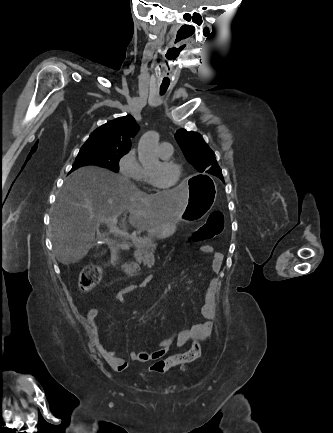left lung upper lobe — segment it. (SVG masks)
Listing matches in <instances>:
<instances>
[{
    "mask_svg": "<svg viewBox=\"0 0 333 433\" xmlns=\"http://www.w3.org/2000/svg\"><path fill=\"white\" fill-rule=\"evenodd\" d=\"M186 159L199 171L221 177L219 168L213 151L205 143L201 135L180 129L175 134Z\"/></svg>",
    "mask_w": 333,
    "mask_h": 433,
    "instance_id": "1",
    "label": "left lung upper lobe"
}]
</instances>
